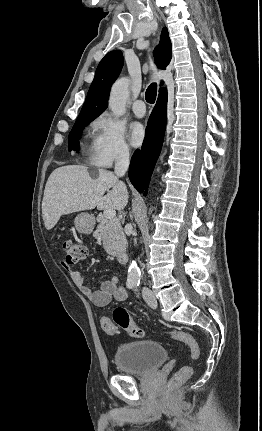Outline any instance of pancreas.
<instances>
[{
  "label": "pancreas",
  "mask_w": 262,
  "mask_h": 431,
  "mask_svg": "<svg viewBox=\"0 0 262 431\" xmlns=\"http://www.w3.org/2000/svg\"><path fill=\"white\" fill-rule=\"evenodd\" d=\"M93 236L103 241V247L108 254L116 256L125 251L127 246L120 220L101 218Z\"/></svg>",
  "instance_id": "cf45deb5"
}]
</instances>
